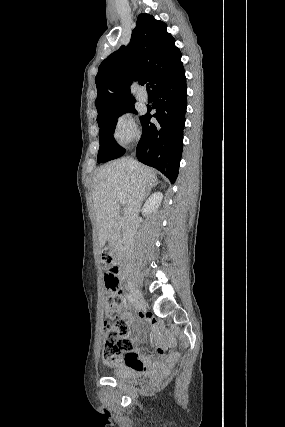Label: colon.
<instances>
[{"label": "colon", "instance_id": "colon-1", "mask_svg": "<svg viewBox=\"0 0 285 427\" xmlns=\"http://www.w3.org/2000/svg\"><path fill=\"white\" fill-rule=\"evenodd\" d=\"M101 264L104 270V282L106 286V320L102 347V362L105 366L115 365L124 354H129L133 350L132 342L125 336L127 324L120 319L119 309L122 298L117 288L119 285V264L107 252L101 256ZM157 353L163 354L162 347L157 348ZM138 368H144L143 362L135 363Z\"/></svg>", "mask_w": 285, "mask_h": 427}]
</instances>
